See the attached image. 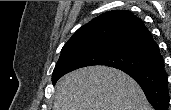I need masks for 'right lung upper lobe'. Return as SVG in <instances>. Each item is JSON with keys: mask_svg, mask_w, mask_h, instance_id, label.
<instances>
[{"mask_svg": "<svg viewBox=\"0 0 171 110\" xmlns=\"http://www.w3.org/2000/svg\"><path fill=\"white\" fill-rule=\"evenodd\" d=\"M88 43H109L129 47L156 58L160 56L159 47L143 21L127 10L109 11L94 18L80 27L62 50Z\"/></svg>", "mask_w": 171, "mask_h": 110, "instance_id": "right-lung-upper-lobe-1", "label": "right lung upper lobe"}]
</instances>
